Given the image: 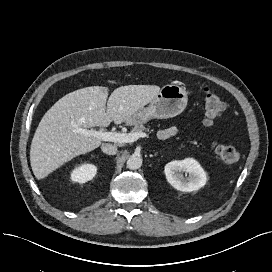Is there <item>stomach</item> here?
<instances>
[{
	"label": "stomach",
	"mask_w": 272,
	"mask_h": 272,
	"mask_svg": "<svg viewBox=\"0 0 272 272\" xmlns=\"http://www.w3.org/2000/svg\"><path fill=\"white\" fill-rule=\"evenodd\" d=\"M187 91L178 84H167L161 88L148 107L137 110L127 121L139 125L153 118L167 119L179 115L187 106Z\"/></svg>",
	"instance_id": "obj_1"
}]
</instances>
